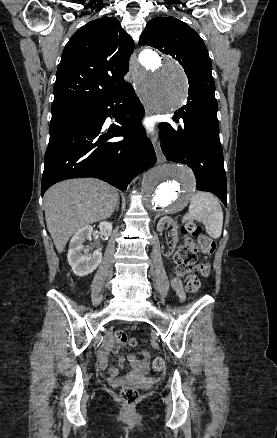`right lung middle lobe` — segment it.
Returning a JSON list of instances; mask_svg holds the SVG:
<instances>
[{
    "mask_svg": "<svg viewBox=\"0 0 277 438\" xmlns=\"http://www.w3.org/2000/svg\"><path fill=\"white\" fill-rule=\"evenodd\" d=\"M86 109H75V110H64V111H55L52 112V119L50 122V132L56 128H58L59 126H61L62 124H64L65 122H67L68 120H70L71 118L85 112Z\"/></svg>",
    "mask_w": 277,
    "mask_h": 438,
    "instance_id": "right-lung-middle-lobe-1",
    "label": "right lung middle lobe"
}]
</instances>
